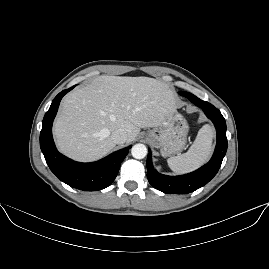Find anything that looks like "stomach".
Segmentation results:
<instances>
[{
    "label": "stomach",
    "mask_w": 269,
    "mask_h": 269,
    "mask_svg": "<svg viewBox=\"0 0 269 269\" xmlns=\"http://www.w3.org/2000/svg\"><path fill=\"white\" fill-rule=\"evenodd\" d=\"M188 124L185 118L177 113H170L162 124L148 132V139L160 148L161 155L166 157L182 151L186 144Z\"/></svg>",
    "instance_id": "0dacf381"
}]
</instances>
